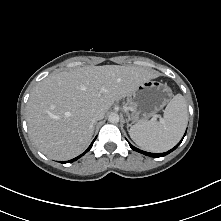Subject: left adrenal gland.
I'll return each mask as SVG.
<instances>
[{
    "instance_id": "1",
    "label": "left adrenal gland",
    "mask_w": 221,
    "mask_h": 221,
    "mask_svg": "<svg viewBox=\"0 0 221 221\" xmlns=\"http://www.w3.org/2000/svg\"><path fill=\"white\" fill-rule=\"evenodd\" d=\"M130 124H128V121H127V128H129Z\"/></svg>"
}]
</instances>
